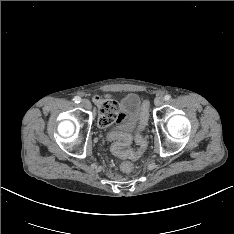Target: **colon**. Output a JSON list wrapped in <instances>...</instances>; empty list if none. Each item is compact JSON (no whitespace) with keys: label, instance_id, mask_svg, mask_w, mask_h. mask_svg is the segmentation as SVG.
I'll list each match as a JSON object with an SVG mask.
<instances>
[{"label":"colon","instance_id":"5ec220e1","mask_svg":"<svg viewBox=\"0 0 234 234\" xmlns=\"http://www.w3.org/2000/svg\"><path fill=\"white\" fill-rule=\"evenodd\" d=\"M96 103L100 108L99 125L101 127H107L119 121V107L116 100L111 97L97 98ZM150 106L149 100L142 102V114L148 115ZM144 128L143 122H138L134 127L133 136L137 137V142L140 144L138 149L130 148L133 137L129 132L123 130L121 127L113 128L112 132L108 135V138L113 141L111 146L112 153L121 159L135 160L140 157L143 150V139L140 137L141 129ZM121 169L128 173L133 170V165L130 162H125L121 165Z\"/></svg>","mask_w":234,"mask_h":234}]
</instances>
